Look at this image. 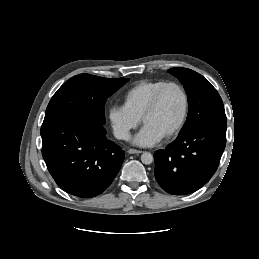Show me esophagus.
I'll return each mask as SVG.
<instances>
[{
  "label": "esophagus",
  "instance_id": "obj_1",
  "mask_svg": "<svg viewBox=\"0 0 259 259\" xmlns=\"http://www.w3.org/2000/svg\"><path fill=\"white\" fill-rule=\"evenodd\" d=\"M129 154H140L143 153L141 150H136V149H128Z\"/></svg>",
  "mask_w": 259,
  "mask_h": 259
}]
</instances>
